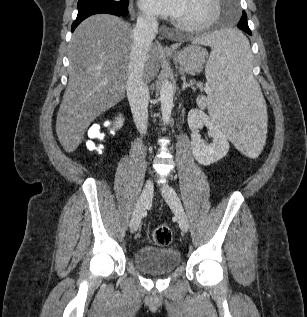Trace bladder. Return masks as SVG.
I'll return each mask as SVG.
<instances>
[{
  "instance_id": "1",
  "label": "bladder",
  "mask_w": 307,
  "mask_h": 317,
  "mask_svg": "<svg viewBox=\"0 0 307 317\" xmlns=\"http://www.w3.org/2000/svg\"><path fill=\"white\" fill-rule=\"evenodd\" d=\"M134 262L147 275H163L180 265L181 255L173 248L145 246L136 250Z\"/></svg>"
}]
</instances>
